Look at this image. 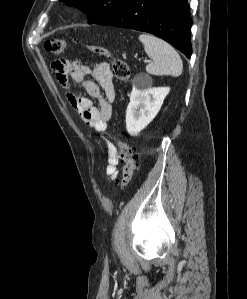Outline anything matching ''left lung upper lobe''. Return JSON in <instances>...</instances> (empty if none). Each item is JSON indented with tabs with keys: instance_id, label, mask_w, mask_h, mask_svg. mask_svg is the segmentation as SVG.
Instances as JSON below:
<instances>
[{
	"instance_id": "obj_1",
	"label": "left lung upper lobe",
	"mask_w": 247,
	"mask_h": 299,
	"mask_svg": "<svg viewBox=\"0 0 247 299\" xmlns=\"http://www.w3.org/2000/svg\"><path fill=\"white\" fill-rule=\"evenodd\" d=\"M69 5L82 7L81 11L88 14V24L112 11L121 0H60Z\"/></svg>"
}]
</instances>
